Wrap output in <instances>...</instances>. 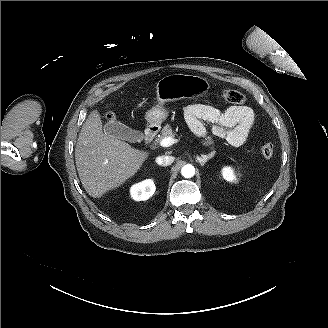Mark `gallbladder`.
Here are the masks:
<instances>
[{
    "mask_svg": "<svg viewBox=\"0 0 328 328\" xmlns=\"http://www.w3.org/2000/svg\"><path fill=\"white\" fill-rule=\"evenodd\" d=\"M103 131L110 137L125 140L130 143H141L146 137L143 131L132 129L129 126L115 120L106 122Z\"/></svg>",
    "mask_w": 328,
    "mask_h": 328,
    "instance_id": "obj_1",
    "label": "gallbladder"
}]
</instances>
